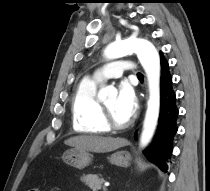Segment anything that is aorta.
I'll return each mask as SVG.
<instances>
[{
	"label": "aorta",
	"instance_id": "aorta-1",
	"mask_svg": "<svg viewBox=\"0 0 210 191\" xmlns=\"http://www.w3.org/2000/svg\"><path fill=\"white\" fill-rule=\"evenodd\" d=\"M131 53L137 54L148 79L149 100L140 138V147L144 148L151 141L159 118L160 58L158 51L151 42L133 37L109 44L104 51V56L106 59L112 60ZM110 95H117V89L113 86H106L99 90L98 98L105 100Z\"/></svg>",
	"mask_w": 210,
	"mask_h": 191
}]
</instances>
